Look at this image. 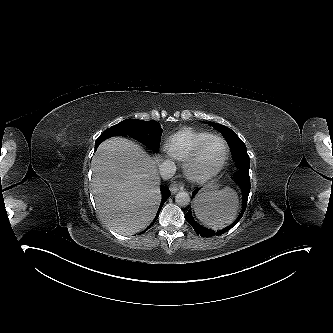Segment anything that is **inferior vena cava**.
Returning <instances> with one entry per match:
<instances>
[{
	"label": "inferior vena cava",
	"mask_w": 333,
	"mask_h": 333,
	"mask_svg": "<svg viewBox=\"0 0 333 333\" xmlns=\"http://www.w3.org/2000/svg\"><path fill=\"white\" fill-rule=\"evenodd\" d=\"M176 165L173 161L164 160L159 164V174L164 180H168L174 176Z\"/></svg>",
	"instance_id": "obj_1"
}]
</instances>
